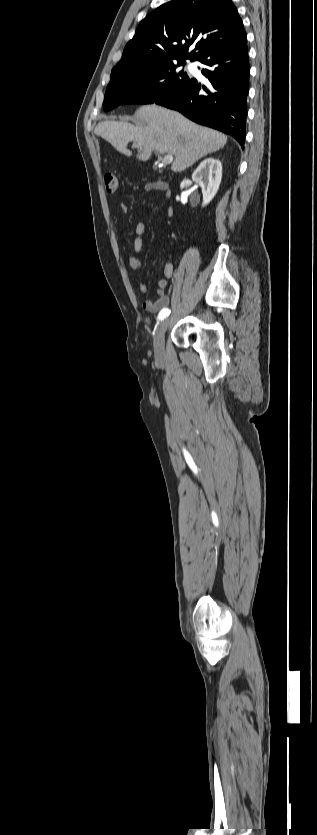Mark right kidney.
<instances>
[{"instance_id":"1","label":"right kidney","mask_w":317,"mask_h":835,"mask_svg":"<svg viewBox=\"0 0 317 835\" xmlns=\"http://www.w3.org/2000/svg\"><path fill=\"white\" fill-rule=\"evenodd\" d=\"M222 178V164L216 158H207L200 163L192 174V180L197 183L203 194L202 206H206L216 195Z\"/></svg>"}]
</instances>
